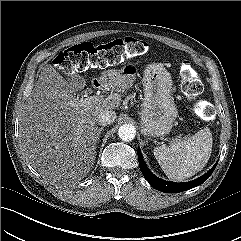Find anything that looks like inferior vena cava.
I'll return each instance as SVG.
<instances>
[{"label": "inferior vena cava", "mask_w": 241, "mask_h": 241, "mask_svg": "<svg viewBox=\"0 0 241 241\" xmlns=\"http://www.w3.org/2000/svg\"><path fill=\"white\" fill-rule=\"evenodd\" d=\"M116 119V113L112 110H101L96 115V122L102 126L111 124Z\"/></svg>", "instance_id": "obj_1"}]
</instances>
